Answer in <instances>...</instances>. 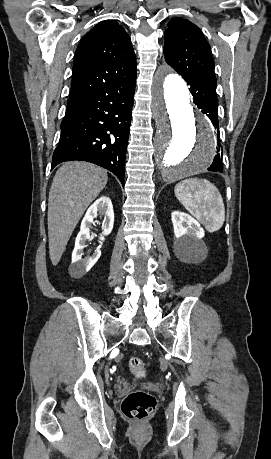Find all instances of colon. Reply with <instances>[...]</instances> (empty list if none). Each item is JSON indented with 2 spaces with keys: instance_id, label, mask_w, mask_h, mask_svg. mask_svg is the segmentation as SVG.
<instances>
[{
  "instance_id": "1",
  "label": "colon",
  "mask_w": 271,
  "mask_h": 459,
  "mask_svg": "<svg viewBox=\"0 0 271 459\" xmlns=\"http://www.w3.org/2000/svg\"><path fill=\"white\" fill-rule=\"evenodd\" d=\"M130 372L138 377L145 376V363L139 357H131L128 361ZM156 407L155 397L143 390H135L130 392L121 404L123 415L134 421H142L149 417Z\"/></svg>"
}]
</instances>
